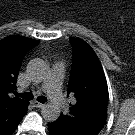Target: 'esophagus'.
<instances>
[{
	"label": "esophagus",
	"mask_w": 135,
	"mask_h": 135,
	"mask_svg": "<svg viewBox=\"0 0 135 135\" xmlns=\"http://www.w3.org/2000/svg\"><path fill=\"white\" fill-rule=\"evenodd\" d=\"M31 104L34 106V107H37V108H42L44 107V104L38 102V101H32Z\"/></svg>",
	"instance_id": "obj_1"
}]
</instances>
